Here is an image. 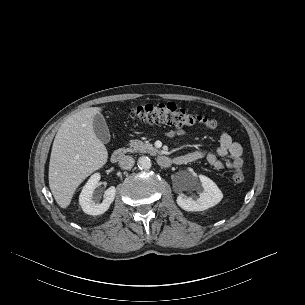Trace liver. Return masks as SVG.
I'll return each mask as SVG.
<instances>
[{"label":"liver","instance_id":"obj_1","mask_svg":"<svg viewBox=\"0 0 305 305\" xmlns=\"http://www.w3.org/2000/svg\"><path fill=\"white\" fill-rule=\"evenodd\" d=\"M102 108L89 107L69 117L59 128L49 163V187L61 208H67L77 187L108 159L93 121Z\"/></svg>","mask_w":305,"mask_h":305}]
</instances>
